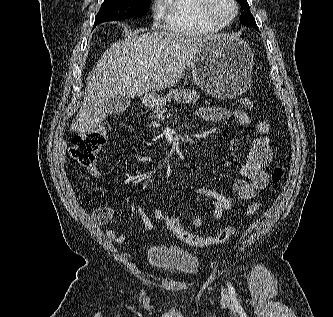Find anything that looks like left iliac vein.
<instances>
[{
    "label": "left iliac vein",
    "mask_w": 333,
    "mask_h": 317,
    "mask_svg": "<svg viewBox=\"0 0 333 317\" xmlns=\"http://www.w3.org/2000/svg\"><path fill=\"white\" fill-rule=\"evenodd\" d=\"M223 295H225V296H226V292H225V290H223Z\"/></svg>",
    "instance_id": "4c4485c4"
}]
</instances>
